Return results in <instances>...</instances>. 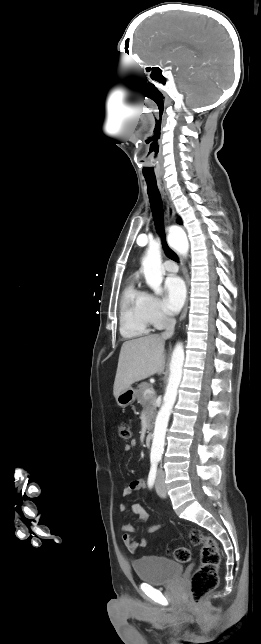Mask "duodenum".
Here are the masks:
<instances>
[{
	"label": "duodenum",
	"instance_id": "410a0bca",
	"mask_svg": "<svg viewBox=\"0 0 261 644\" xmlns=\"http://www.w3.org/2000/svg\"><path fill=\"white\" fill-rule=\"evenodd\" d=\"M152 440H153V434L151 432L147 433L144 440L145 446L150 447L152 444Z\"/></svg>",
	"mask_w": 261,
	"mask_h": 644
}]
</instances>
